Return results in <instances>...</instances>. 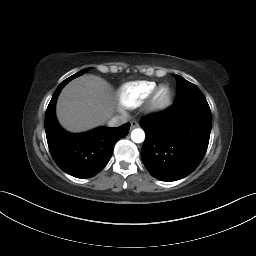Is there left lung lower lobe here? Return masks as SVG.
I'll return each instance as SVG.
<instances>
[{
    "label": "left lung lower lobe",
    "mask_w": 256,
    "mask_h": 256,
    "mask_svg": "<svg viewBox=\"0 0 256 256\" xmlns=\"http://www.w3.org/2000/svg\"><path fill=\"white\" fill-rule=\"evenodd\" d=\"M140 126L146 133L141 150L145 167L159 180L176 181L202 161L210 138L211 111L206 99L185 101L146 117Z\"/></svg>",
    "instance_id": "left-lung-lower-lobe-1"
}]
</instances>
